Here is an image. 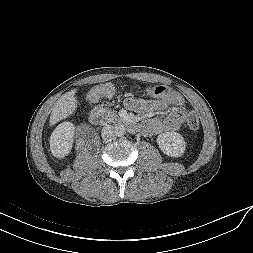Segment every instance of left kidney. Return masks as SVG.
<instances>
[{
	"label": "left kidney",
	"mask_w": 253,
	"mask_h": 253,
	"mask_svg": "<svg viewBox=\"0 0 253 253\" xmlns=\"http://www.w3.org/2000/svg\"><path fill=\"white\" fill-rule=\"evenodd\" d=\"M160 150L171 157H180L185 151V141L176 132H165L160 134L157 139Z\"/></svg>",
	"instance_id": "5707ae66"
}]
</instances>
